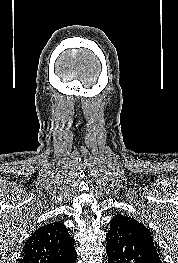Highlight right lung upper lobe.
I'll return each instance as SVG.
<instances>
[{"mask_svg": "<svg viewBox=\"0 0 178 263\" xmlns=\"http://www.w3.org/2000/svg\"><path fill=\"white\" fill-rule=\"evenodd\" d=\"M74 239L60 222L36 229L27 240L19 263H60L75 253Z\"/></svg>", "mask_w": 178, "mask_h": 263, "instance_id": "cb5924a9", "label": "right lung upper lobe"}]
</instances>
